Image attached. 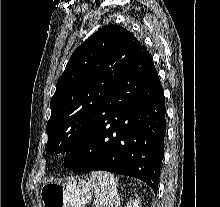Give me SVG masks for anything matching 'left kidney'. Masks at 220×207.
<instances>
[{"mask_svg": "<svg viewBox=\"0 0 220 207\" xmlns=\"http://www.w3.org/2000/svg\"><path fill=\"white\" fill-rule=\"evenodd\" d=\"M125 207H140V200L139 198L135 200H131L130 203H128Z\"/></svg>", "mask_w": 220, "mask_h": 207, "instance_id": "obj_1", "label": "left kidney"}]
</instances>
